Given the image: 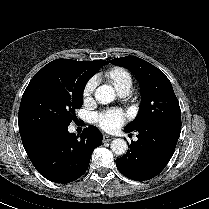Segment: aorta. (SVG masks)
<instances>
[{"label":"aorta","instance_id":"obj_1","mask_svg":"<svg viewBox=\"0 0 209 209\" xmlns=\"http://www.w3.org/2000/svg\"><path fill=\"white\" fill-rule=\"evenodd\" d=\"M95 99L101 104H108L114 101L116 95L114 89L109 85H101L95 91ZM127 142L124 139H114L111 142V150L116 155H123L127 151Z\"/></svg>","mask_w":209,"mask_h":209}]
</instances>
